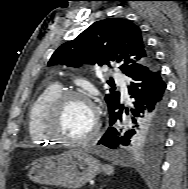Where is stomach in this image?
I'll return each mask as SVG.
<instances>
[{"instance_id": "obj_1", "label": "stomach", "mask_w": 188, "mask_h": 189, "mask_svg": "<svg viewBox=\"0 0 188 189\" xmlns=\"http://www.w3.org/2000/svg\"><path fill=\"white\" fill-rule=\"evenodd\" d=\"M100 172V164L83 151H67L33 162L27 176L41 184L80 188Z\"/></svg>"}]
</instances>
